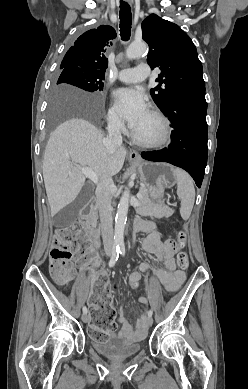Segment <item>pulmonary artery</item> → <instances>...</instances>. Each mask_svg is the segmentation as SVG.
<instances>
[{
	"label": "pulmonary artery",
	"mask_w": 248,
	"mask_h": 389,
	"mask_svg": "<svg viewBox=\"0 0 248 389\" xmlns=\"http://www.w3.org/2000/svg\"><path fill=\"white\" fill-rule=\"evenodd\" d=\"M150 76V69L147 63H140L135 68H128L119 71L117 78L124 83H136L147 79Z\"/></svg>",
	"instance_id": "pulmonary-artery-1"
}]
</instances>
